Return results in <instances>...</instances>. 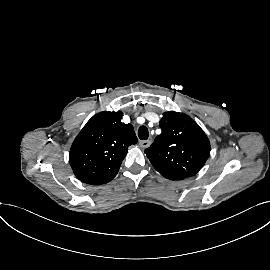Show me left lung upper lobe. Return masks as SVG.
Instances as JSON below:
<instances>
[{"label":"left lung upper lobe","instance_id":"5c2ea615","mask_svg":"<svg viewBox=\"0 0 270 270\" xmlns=\"http://www.w3.org/2000/svg\"><path fill=\"white\" fill-rule=\"evenodd\" d=\"M162 133L145 150L154 168L170 180L195 175L210 156V142L189 116L165 112L159 122Z\"/></svg>","mask_w":270,"mask_h":270}]
</instances>
